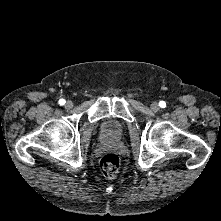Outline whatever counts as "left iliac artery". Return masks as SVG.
<instances>
[{"mask_svg":"<svg viewBox=\"0 0 221 221\" xmlns=\"http://www.w3.org/2000/svg\"><path fill=\"white\" fill-rule=\"evenodd\" d=\"M159 106H160L161 108H165V107H166L165 101H160V102H159Z\"/></svg>","mask_w":221,"mask_h":221,"instance_id":"1","label":"left iliac artery"}]
</instances>
